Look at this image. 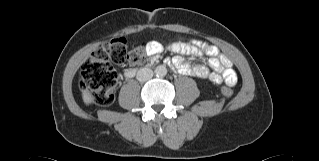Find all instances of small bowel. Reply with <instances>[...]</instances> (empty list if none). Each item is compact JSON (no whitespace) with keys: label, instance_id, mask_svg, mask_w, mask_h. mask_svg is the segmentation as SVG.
I'll return each instance as SVG.
<instances>
[{"label":"small bowel","instance_id":"small-bowel-1","mask_svg":"<svg viewBox=\"0 0 319 161\" xmlns=\"http://www.w3.org/2000/svg\"><path fill=\"white\" fill-rule=\"evenodd\" d=\"M163 43L158 40L148 42L147 48L151 55H159L163 49ZM166 48L177 54L172 63L174 69L183 75H189L198 78H207L215 84H220L223 81L228 85H234L237 80V75L233 69L232 62L219 49L201 40L193 39L190 42L175 41L169 43ZM205 54L210 57L209 66L214 70L210 71L202 64H188L184 61L183 55L200 56Z\"/></svg>","mask_w":319,"mask_h":161}]
</instances>
